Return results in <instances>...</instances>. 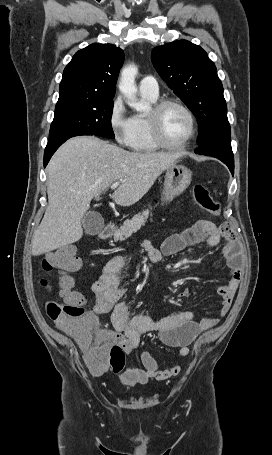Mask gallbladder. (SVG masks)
Segmentation results:
<instances>
[{"label": "gallbladder", "mask_w": 272, "mask_h": 455, "mask_svg": "<svg viewBox=\"0 0 272 455\" xmlns=\"http://www.w3.org/2000/svg\"><path fill=\"white\" fill-rule=\"evenodd\" d=\"M82 225L87 234L95 235L103 229L104 220L99 213L90 211L82 218Z\"/></svg>", "instance_id": "gallbladder-1"}]
</instances>
